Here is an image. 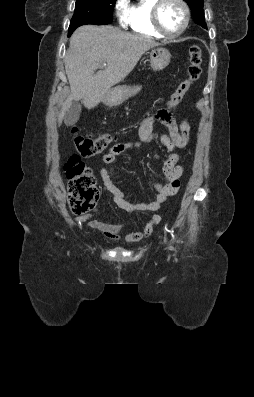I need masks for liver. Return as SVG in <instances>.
Returning <instances> with one entry per match:
<instances>
[{"mask_svg": "<svg viewBox=\"0 0 254 397\" xmlns=\"http://www.w3.org/2000/svg\"><path fill=\"white\" fill-rule=\"evenodd\" d=\"M158 45L150 37L113 26L79 27L71 36L64 60L71 91L58 114L59 125L73 100L82 99L87 109L96 107L111 87L135 68L142 55ZM103 63L106 66L95 74Z\"/></svg>", "mask_w": 254, "mask_h": 397, "instance_id": "1", "label": "liver"}]
</instances>
